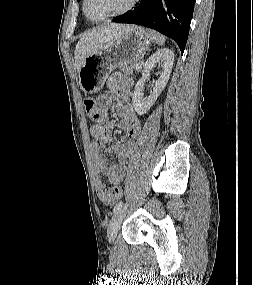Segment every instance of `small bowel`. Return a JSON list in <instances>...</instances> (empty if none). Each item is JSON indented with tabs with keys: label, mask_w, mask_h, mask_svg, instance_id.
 I'll list each match as a JSON object with an SVG mask.
<instances>
[{
	"label": "small bowel",
	"mask_w": 253,
	"mask_h": 285,
	"mask_svg": "<svg viewBox=\"0 0 253 285\" xmlns=\"http://www.w3.org/2000/svg\"><path fill=\"white\" fill-rule=\"evenodd\" d=\"M110 94L101 95L96 103L95 110L89 117L94 120L90 127L95 150V163L98 176L95 188L98 198L105 205L112 206L122 196L116 193L115 187H120L126 177L128 170V159L135 153L136 144L134 140L140 135L141 124L132 104L130 103L132 79L121 74H113L108 79ZM112 94L121 99L117 109L120 119L119 127L125 131L129 141L122 144H113V131L115 123L108 120V111L112 106ZM115 155L117 162L111 164L108 156ZM102 176H106L114 187H107Z\"/></svg>",
	"instance_id": "1"
}]
</instances>
